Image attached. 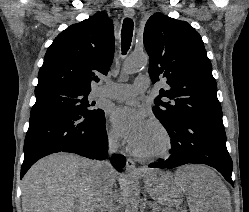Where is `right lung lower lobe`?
Segmentation results:
<instances>
[{
	"label": "right lung lower lobe",
	"instance_id": "right-lung-lower-lobe-1",
	"mask_svg": "<svg viewBox=\"0 0 249 212\" xmlns=\"http://www.w3.org/2000/svg\"><path fill=\"white\" fill-rule=\"evenodd\" d=\"M107 150L104 111L99 117L88 118L58 111L34 113L25 137L21 178L37 160L52 153L70 152L101 160L106 158ZM111 163L122 171L126 159L113 155Z\"/></svg>",
	"mask_w": 249,
	"mask_h": 212
}]
</instances>
